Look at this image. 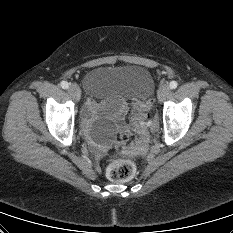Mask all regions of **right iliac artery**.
<instances>
[{"label":"right iliac artery","instance_id":"82829eb1","mask_svg":"<svg viewBox=\"0 0 233 233\" xmlns=\"http://www.w3.org/2000/svg\"><path fill=\"white\" fill-rule=\"evenodd\" d=\"M60 85H61V87H62L63 89H67V88L69 87V84H68L67 81H62V82L60 83Z\"/></svg>","mask_w":233,"mask_h":233}]
</instances>
